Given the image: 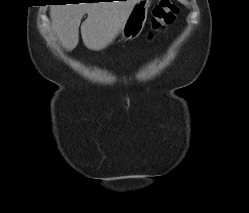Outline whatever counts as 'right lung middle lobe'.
I'll return each instance as SVG.
<instances>
[{
	"instance_id": "right-lung-middle-lobe-1",
	"label": "right lung middle lobe",
	"mask_w": 249,
	"mask_h": 213,
	"mask_svg": "<svg viewBox=\"0 0 249 213\" xmlns=\"http://www.w3.org/2000/svg\"><path fill=\"white\" fill-rule=\"evenodd\" d=\"M59 1L61 3H66V2H75L76 0H56Z\"/></svg>"
}]
</instances>
